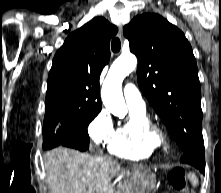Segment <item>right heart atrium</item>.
<instances>
[{"label": "right heart atrium", "mask_w": 221, "mask_h": 193, "mask_svg": "<svg viewBox=\"0 0 221 193\" xmlns=\"http://www.w3.org/2000/svg\"><path fill=\"white\" fill-rule=\"evenodd\" d=\"M88 133L94 144L108 145L115 133V126L111 114L105 108L92 119L88 126Z\"/></svg>", "instance_id": "obj_1"}]
</instances>
